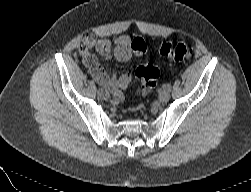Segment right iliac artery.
<instances>
[{
    "mask_svg": "<svg viewBox=\"0 0 251 192\" xmlns=\"http://www.w3.org/2000/svg\"><path fill=\"white\" fill-rule=\"evenodd\" d=\"M102 93H103V89H102V88H99V89H98V95L101 96Z\"/></svg>",
    "mask_w": 251,
    "mask_h": 192,
    "instance_id": "82829eb1",
    "label": "right iliac artery"
}]
</instances>
